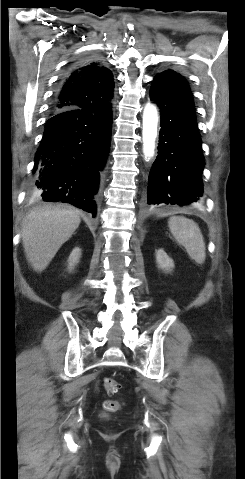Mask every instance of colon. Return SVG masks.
<instances>
[{
	"label": "colon",
	"instance_id": "1",
	"mask_svg": "<svg viewBox=\"0 0 245 479\" xmlns=\"http://www.w3.org/2000/svg\"><path fill=\"white\" fill-rule=\"evenodd\" d=\"M103 388L108 394H118L120 391V384L113 378H105L103 380ZM104 410L108 413L119 410L120 403L118 401L109 400L104 403Z\"/></svg>",
	"mask_w": 245,
	"mask_h": 479
}]
</instances>
